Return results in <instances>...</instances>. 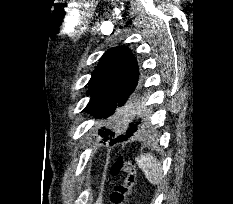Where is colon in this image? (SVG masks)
<instances>
[{"mask_svg": "<svg viewBox=\"0 0 233 204\" xmlns=\"http://www.w3.org/2000/svg\"><path fill=\"white\" fill-rule=\"evenodd\" d=\"M110 174L115 177L124 175V180L116 185L111 193V202L113 204H126L137 179L135 165L129 160L118 158L111 165Z\"/></svg>", "mask_w": 233, "mask_h": 204, "instance_id": "5ec220e1", "label": "colon"}]
</instances>
